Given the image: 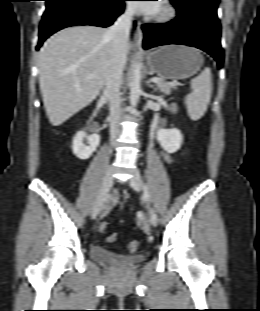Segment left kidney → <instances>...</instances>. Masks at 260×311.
<instances>
[{
  "label": "left kidney",
  "mask_w": 260,
  "mask_h": 311,
  "mask_svg": "<svg viewBox=\"0 0 260 311\" xmlns=\"http://www.w3.org/2000/svg\"><path fill=\"white\" fill-rule=\"evenodd\" d=\"M157 139L162 148L168 153H175L180 149L183 136L178 129H163L157 131Z\"/></svg>",
  "instance_id": "5707ae66"
}]
</instances>
